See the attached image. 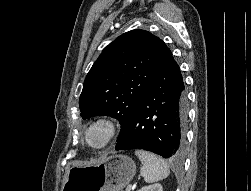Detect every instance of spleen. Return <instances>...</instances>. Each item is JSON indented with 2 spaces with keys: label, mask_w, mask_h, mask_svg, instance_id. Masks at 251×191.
I'll return each instance as SVG.
<instances>
[{
  "label": "spleen",
  "mask_w": 251,
  "mask_h": 191,
  "mask_svg": "<svg viewBox=\"0 0 251 191\" xmlns=\"http://www.w3.org/2000/svg\"><path fill=\"white\" fill-rule=\"evenodd\" d=\"M135 155H138L142 163L140 173L148 183L159 181L169 175V165L159 155H155L151 151H144V149H136Z\"/></svg>",
  "instance_id": "obj_1"
}]
</instances>
